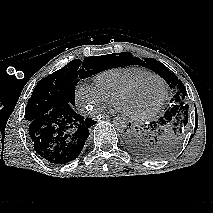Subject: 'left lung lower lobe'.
Wrapping results in <instances>:
<instances>
[{"mask_svg": "<svg viewBox=\"0 0 213 213\" xmlns=\"http://www.w3.org/2000/svg\"><path fill=\"white\" fill-rule=\"evenodd\" d=\"M165 114L158 121L145 124L142 128H132L125 130L124 139L128 148L138 156L154 159L158 136L164 131Z\"/></svg>", "mask_w": 213, "mask_h": 213, "instance_id": "obj_1", "label": "left lung lower lobe"}]
</instances>
